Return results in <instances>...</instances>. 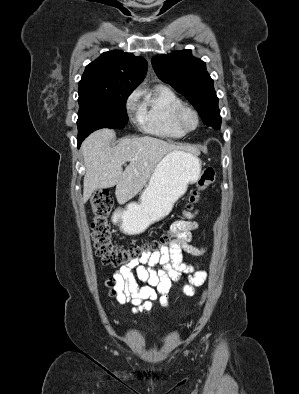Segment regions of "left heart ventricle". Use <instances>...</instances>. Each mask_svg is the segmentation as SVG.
Masks as SVG:
<instances>
[{"label": "left heart ventricle", "instance_id": "b2bd125f", "mask_svg": "<svg viewBox=\"0 0 299 394\" xmlns=\"http://www.w3.org/2000/svg\"><path fill=\"white\" fill-rule=\"evenodd\" d=\"M184 123L187 127L192 128L195 126L196 120L192 113L186 112L184 114Z\"/></svg>", "mask_w": 299, "mask_h": 394}]
</instances>
